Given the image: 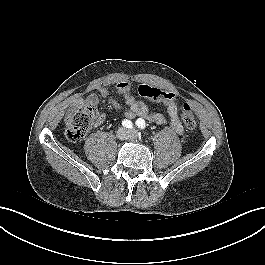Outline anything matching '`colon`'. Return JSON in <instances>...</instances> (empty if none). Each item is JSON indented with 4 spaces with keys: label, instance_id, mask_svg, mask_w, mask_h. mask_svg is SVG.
Masks as SVG:
<instances>
[{
    "label": "colon",
    "instance_id": "obj_1",
    "mask_svg": "<svg viewBox=\"0 0 265 265\" xmlns=\"http://www.w3.org/2000/svg\"><path fill=\"white\" fill-rule=\"evenodd\" d=\"M137 91L141 97L154 101L177 99L176 95L173 93H168L147 84L139 85ZM180 116L186 128H195V116L189 104L184 103L182 105ZM100 118V111L97 106L92 103H85L76 109L70 110L65 118V132L67 138L72 142L81 141Z\"/></svg>",
    "mask_w": 265,
    "mask_h": 265
}]
</instances>
